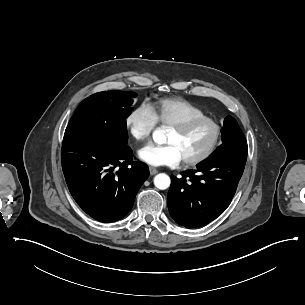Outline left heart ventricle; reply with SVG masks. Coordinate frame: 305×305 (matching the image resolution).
<instances>
[{"instance_id": "obj_1", "label": "left heart ventricle", "mask_w": 305, "mask_h": 305, "mask_svg": "<svg viewBox=\"0 0 305 305\" xmlns=\"http://www.w3.org/2000/svg\"><path fill=\"white\" fill-rule=\"evenodd\" d=\"M215 137V125L204 122L183 132L169 127L165 141L178 148L183 160L195 158L202 154L213 143Z\"/></svg>"}]
</instances>
